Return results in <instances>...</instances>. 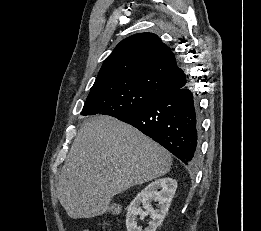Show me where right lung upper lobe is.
<instances>
[{
  "instance_id": "right-lung-upper-lobe-1",
  "label": "right lung upper lobe",
  "mask_w": 261,
  "mask_h": 231,
  "mask_svg": "<svg viewBox=\"0 0 261 231\" xmlns=\"http://www.w3.org/2000/svg\"><path fill=\"white\" fill-rule=\"evenodd\" d=\"M189 82L172 50L153 33L121 41L105 59L90 92L140 87L158 98Z\"/></svg>"
}]
</instances>
